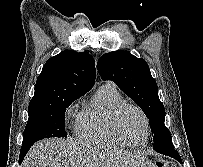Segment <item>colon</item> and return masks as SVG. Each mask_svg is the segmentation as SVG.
<instances>
[{
  "mask_svg": "<svg viewBox=\"0 0 203 167\" xmlns=\"http://www.w3.org/2000/svg\"><path fill=\"white\" fill-rule=\"evenodd\" d=\"M155 167H174V165L168 161H159L156 163Z\"/></svg>",
  "mask_w": 203,
  "mask_h": 167,
  "instance_id": "5ec220e1",
  "label": "colon"
}]
</instances>
